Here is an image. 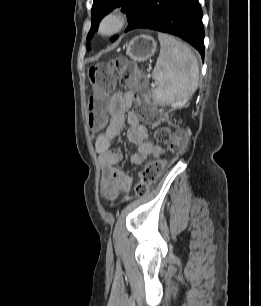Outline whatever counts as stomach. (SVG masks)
I'll return each mask as SVG.
<instances>
[{"instance_id": "1", "label": "stomach", "mask_w": 261, "mask_h": 306, "mask_svg": "<svg viewBox=\"0 0 261 306\" xmlns=\"http://www.w3.org/2000/svg\"><path fill=\"white\" fill-rule=\"evenodd\" d=\"M156 51V42L148 35H139L134 37L126 45V54L137 62H144L154 55Z\"/></svg>"}]
</instances>
